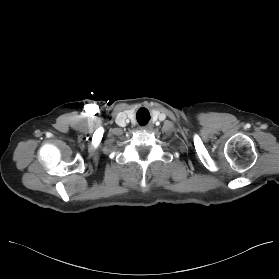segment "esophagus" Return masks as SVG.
I'll return each mask as SVG.
<instances>
[{
	"mask_svg": "<svg viewBox=\"0 0 279 279\" xmlns=\"http://www.w3.org/2000/svg\"><path fill=\"white\" fill-rule=\"evenodd\" d=\"M151 128H152V125L148 124V125L142 126L140 129L141 130H149Z\"/></svg>",
	"mask_w": 279,
	"mask_h": 279,
	"instance_id": "34e87169",
	"label": "esophagus"
}]
</instances>
